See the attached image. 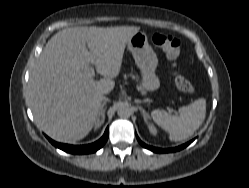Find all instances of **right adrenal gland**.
Wrapping results in <instances>:
<instances>
[{"label":"right adrenal gland","mask_w":249,"mask_h":188,"mask_svg":"<svg viewBox=\"0 0 249 188\" xmlns=\"http://www.w3.org/2000/svg\"><path fill=\"white\" fill-rule=\"evenodd\" d=\"M107 101H109V100L106 99V100L103 102L102 107H101V109H100L99 115L101 116V122H104V118H105V109H106L105 106H106Z\"/></svg>","instance_id":"obj_1"}]
</instances>
